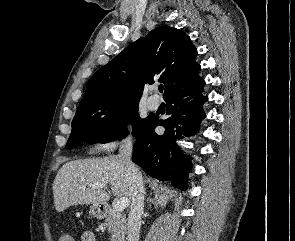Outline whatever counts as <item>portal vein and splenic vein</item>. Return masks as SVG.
Wrapping results in <instances>:
<instances>
[{"mask_svg":"<svg viewBox=\"0 0 295 241\" xmlns=\"http://www.w3.org/2000/svg\"><path fill=\"white\" fill-rule=\"evenodd\" d=\"M94 187H96V188H101V189H105V188H107L106 187V185H102V184H96ZM85 188V187H84ZM129 199H128V197H122V198H120L118 201H117V203H116V205H115V209L117 210V211H119V212H121V211H123L128 205H129Z\"/></svg>","mask_w":295,"mask_h":241,"instance_id":"portal-vein-and-splenic-vein-1","label":"portal vein and splenic vein"}]
</instances>
